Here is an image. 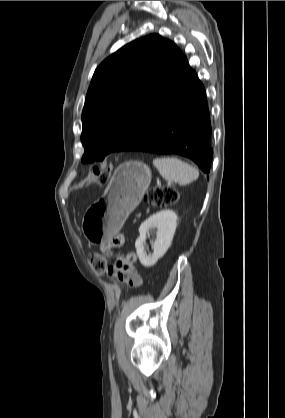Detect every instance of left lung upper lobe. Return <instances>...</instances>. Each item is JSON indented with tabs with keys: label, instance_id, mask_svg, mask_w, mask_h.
Wrapping results in <instances>:
<instances>
[{
	"label": "left lung upper lobe",
	"instance_id": "obj_1",
	"mask_svg": "<svg viewBox=\"0 0 285 418\" xmlns=\"http://www.w3.org/2000/svg\"><path fill=\"white\" fill-rule=\"evenodd\" d=\"M183 54L152 34L106 58L95 70L82 111V162L123 151L178 71Z\"/></svg>",
	"mask_w": 285,
	"mask_h": 418
}]
</instances>
